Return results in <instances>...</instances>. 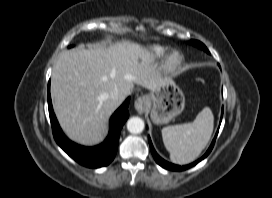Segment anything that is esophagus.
<instances>
[{
    "instance_id": "obj_1",
    "label": "esophagus",
    "mask_w": 272,
    "mask_h": 198,
    "mask_svg": "<svg viewBox=\"0 0 272 198\" xmlns=\"http://www.w3.org/2000/svg\"><path fill=\"white\" fill-rule=\"evenodd\" d=\"M134 107L139 114L144 113L147 108V100L145 96H140L135 100Z\"/></svg>"
}]
</instances>
